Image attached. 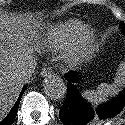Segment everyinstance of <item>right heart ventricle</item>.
<instances>
[{
  "label": "right heart ventricle",
  "instance_id": "e07e8e85",
  "mask_svg": "<svg viewBox=\"0 0 125 125\" xmlns=\"http://www.w3.org/2000/svg\"><path fill=\"white\" fill-rule=\"evenodd\" d=\"M86 31V24L77 20H70L53 27L43 38V44L51 50L66 49Z\"/></svg>",
  "mask_w": 125,
  "mask_h": 125
}]
</instances>
